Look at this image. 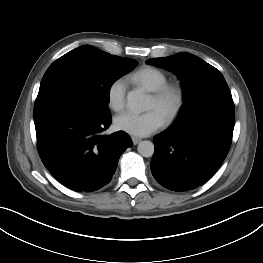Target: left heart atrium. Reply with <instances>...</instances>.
<instances>
[{
	"label": "left heart atrium",
	"mask_w": 263,
	"mask_h": 263,
	"mask_svg": "<svg viewBox=\"0 0 263 263\" xmlns=\"http://www.w3.org/2000/svg\"><path fill=\"white\" fill-rule=\"evenodd\" d=\"M164 123L163 115L156 109L144 113L125 112L114 119L118 130L134 136H147L159 129Z\"/></svg>",
	"instance_id": "1"
}]
</instances>
